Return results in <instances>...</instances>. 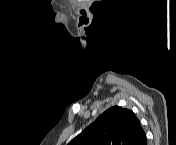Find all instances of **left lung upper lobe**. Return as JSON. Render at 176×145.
<instances>
[{
    "instance_id": "1",
    "label": "left lung upper lobe",
    "mask_w": 176,
    "mask_h": 145,
    "mask_svg": "<svg viewBox=\"0 0 176 145\" xmlns=\"http://www.w3.org/2000/svg\"><path fill=\"white\" fill-rule=\"evenodd\" d=\"M146 135L135 114L111 107L76 136L69 145H143Z\"/></svg>"
}]
</instances>
